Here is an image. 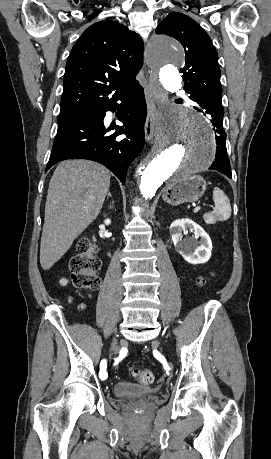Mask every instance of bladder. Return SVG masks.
<instances>
[{
    "label": "bladder",
    "mask_w": 271,
    "mask_h": 459,
    "mask_svg": "<svg viewBox=\"0 0 271 459\" xmlns=\"http://www.w3.org/2000/svg\"><path fill=\"white\" fill-rule=\"evenodd\" d=\"M115 396L125 397L131 395H154L156 388L152 385H143L129 381H120L114 387Z\"/></svg>",
    "instance_id": "obj_1"
}]
</instances>
